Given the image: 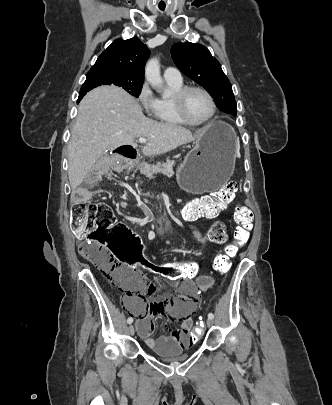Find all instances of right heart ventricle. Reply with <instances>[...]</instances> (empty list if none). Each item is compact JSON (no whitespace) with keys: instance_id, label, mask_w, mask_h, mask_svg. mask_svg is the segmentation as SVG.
I'll return each instance as SVG.
<instances>
[{"instance_id":"e07e8e85","label":"right heart ventricle","mask_w":332,"mask_h":405,"mask_svg":"<svg viewBox=\"0 0 332 405\" xmlns=\"http://www.w3.org/2000/svg\"><path fill=\"white\" fill-rule=\"evenodd\" d=\"M167 85L171 89V96L168 97H160L157 99V110L154 114L157 121L163 124H171V125H184L185 123L179 118L174 101L173 96L174 94L179 91L182 87H184L183 82H174L166 80Z\"/></svg>"}]
</instances>
